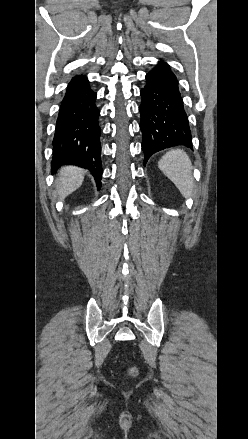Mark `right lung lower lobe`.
<instances>
[{"label":"right lung lower lobe","instance_id":"right-lung-lower-lobe-1","mask_svg":"<svg viewBox=\"0 0 248 439\" xmlns=\"http://www.w3.org/2000/svg\"><path fill=\"white\" fill-rule=\"evenodd\" d=\"M96 93L84 75L75 76L68 84L61 102L53 139L52 167L73 164L88 169L101 186L102 165L98 125L100 115L95 104Z\"/></svg>","mask_w":248,"mask_h":439}]
</instances>
